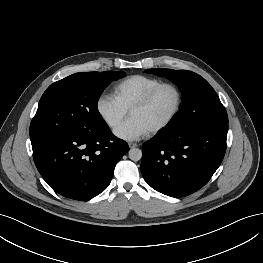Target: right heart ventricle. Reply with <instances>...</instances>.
Masks as SVG:
<instances>
[{"label": "right heart ventricle", "instance_id": "right-heart-ventricle-1", "mask_svg": "<svg viewBox=\"0 0 263 263\" xmlns=\"http://www.w3.org/2000/svg\"><path fill=\"white\" fill-rule=\"evenodd\" d=\"M162 81L155 77L133 75L118 82L113 88V96L126 109L129 110L149 90Z\"/></svg>", "mask_w": 263, "mask_h": 263}]
</instances>
